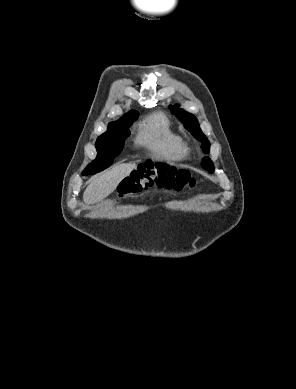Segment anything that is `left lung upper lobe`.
I'll use <instances>...</instances> for the list:
<instances>
[{
	"label": "left lung upper lobe",
	"mask_w": 296,
	"mask_h": 389,
	"mask_svg": "<svg viewBox=\"0 0 296 389\" xmlns=\"http://www.w3.org/2000/svg\"><path fill=\"white\" fill-rule=\"evenodd\" d=\"M169 108H170L172 114H174L184 124V127L188 131H190L191 134L196 139H198L200 142L203 143L201 146L203 151L205 153H209L210 142L208 141V139L205 137V135L201 131L196 117L194 115L184 111L183 109H179L178 105H176L174 107L169 106ZM201 165L205 170L209 171L210 173L214 172V167H213V164H212L210 158H208V157L204 158Z\"/></svg>",
	"instance_id": "left-lung-upper-lobe-1"
}]
</instances>
